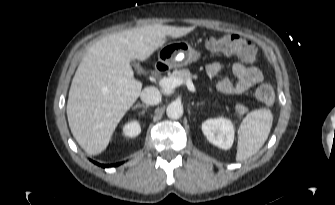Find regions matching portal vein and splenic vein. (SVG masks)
Listing matches in <instances>:
<instances>
[{
	"instance_id": "portal-vein-and-splenic-vein-1",
	"label": "portal vein and splenic vein",
	"mask_w": 335,
	"mask_h": 205,
	"mask_svg": "<svg viewBox=\"0 0 335 205\" xmlns=\"http://www.w3.org/2000/svg\"><path fill=\"white\" fill-rule=\"evenodd\" d=\"M159 84L166 89H173V88H176L177 86H180L181 84H183V80L181 78H176V77H168V78L164 77V78L159 80ZM186 85H187V88L191 92L196 91V89L193 85V82L190 79H188L186 81Z\"/></svg>"
}]
</instances>
